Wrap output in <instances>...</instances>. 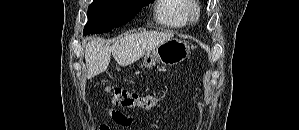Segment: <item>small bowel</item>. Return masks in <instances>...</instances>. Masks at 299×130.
<instances>
[{
  "label": "small bowel",
  "mask_w": 299,
  "mask_h": 130,
  "mask_svg": "<svg viewBox=\"0 0 299 130\" xmlns=\"http://www.w3.org/2000/svg\"><path fill=\"white\" fill-rule=\"evenodd\" d=\"M108 115L111 117V119L121 125V126H129L132 123V118L128 114H124L120 111H116L114 109H108L107 110ZM100 130H111L110 126L108 124H102L100 125Z\"/></svg>",
  "instance_id": "c3829d8e"
}]
</instances>
